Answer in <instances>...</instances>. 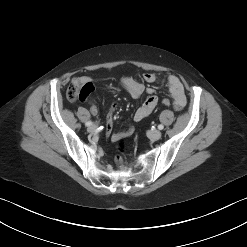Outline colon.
Listing matches in <instances>:
<instances>
[{
    "label": "colon",
    "instance_id": "colon-1",
    "mask_svg": "<svg viewBox=\"0 0 247 247\" xmlns=\"http://www.w3.org/2000/svg\"><path fill=\"white\" fill-rule=\"evenodd\" d=\"M93 88L90 85L79 86L76 84H71L67 89V98L70 101L85 100L87 96L92 92ZM162 105L165 107L174 106L173 101L165 98L161 101ZM119 149L124 151L125 141L123 138L119 139Z\"/></svg>",
    "mask_w": 247,
    "mask_h": 247
}]
</instances>
